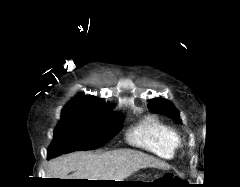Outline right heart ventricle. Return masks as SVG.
<instances>
[{"instance_id":"e07e8e85","label":"right heart ventricle","mask_w":240,"mask_h":187,"mask_svg":"<svg viewBox=\"0 0 240 187\" xmlns=\"http://www.w3.org/2000/svg\"><path fill=\"white\" fill-rule=\"evenodd\" d=\"M127 138L132 145L163 159L174 158L180 147L178 131L153 116L146 117L135 125Z\"/></svg>"}]
</instances>
